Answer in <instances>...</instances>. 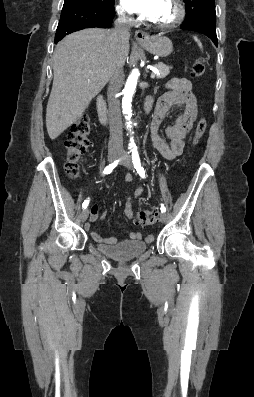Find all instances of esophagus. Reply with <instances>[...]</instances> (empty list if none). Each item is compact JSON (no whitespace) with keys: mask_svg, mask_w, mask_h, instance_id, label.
<instances>
[{"mask_svg":"<svg viewBox=\"0 0 254 397\" xmlns=\"http://www.w3.org/2000/svg\"><path fill=\"white\" fill-rule=\"evenodd\" d=\"M135 38L137 42L139 43H147L150 41V35L149 33L143 31V30H137L135 32Z\"/></svg>","mask_w":254,"mask_h":397,"instance_id":"1","label":"esophagus"}]
</instances>
